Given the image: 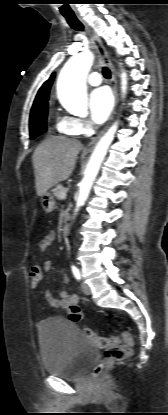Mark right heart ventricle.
Returning a JSON list of instances; mask_svg holds the SVG:
<instances>
[{"label": "right heart ventricle", "mask_w": 168, "mask_h": 415, "mask_svg": "<svg viewBox=\"0 0 168 415\" xmlns=\"http://www.w3.org/2000/svg\"><path fill=\"white\" fill-rule=\"evenodd\" d=\"M55 129L61 135H65V136L75 135L71 127L70 117H57Z\"/></svg>", "instance_id": "right-heart-ventricle-1"}]
</instances>
